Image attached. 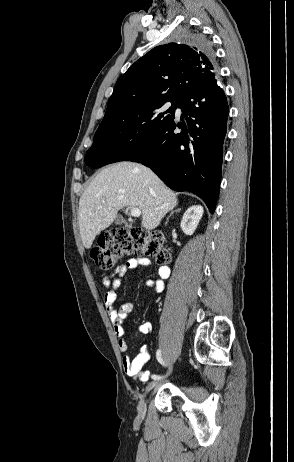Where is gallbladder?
<instances>
[{
	"mask_svg": "<svg viewBox=\"0 0 294 462\" xmlns=\"http://www.w3.org/2000/svg\"><path fill=\"white\" fill-rule=\"evenodd\" d=\"M124 222H125V221H124V219H123L122 216H118V217L116 218V220H115V223H116L117 225H120V224H122V223H124Z\"/></svg>",
	"mask_w": 294,
	"mask_h": 462,
	"instance_id": "bac80fb5",
	"label": "gallbladder"
}]
</instances>
